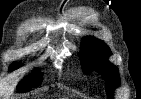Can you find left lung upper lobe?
Returning <instances> with one entry per match:
<instances>
[{
    "label": "left lung upper lobe",
    "mask_w": 141,
    "mask_h": 99,
    "mask_svg": "<svg viewBox=\"0 0 141 99\" xmlns=\"http://www.w3.org/2000/svg\"><path fill=\"white\" fill-rule=\"evenodd\" d=\"M111 55L109 47L94 37H86L80 52L83 72L96 71L106 81L108 98L112 91L120 84L118 68L107 59Z\"/></svg>",
    "instance_id": "5c2ea615"
}]
</instances>
